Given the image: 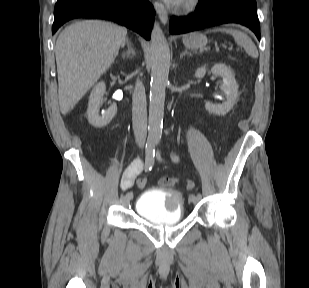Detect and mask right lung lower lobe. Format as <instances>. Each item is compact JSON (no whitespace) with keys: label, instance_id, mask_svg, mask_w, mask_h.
I'll return each mask as SVG.
<instances>
[{"label":"right lung lower lobe","instance_id":"obj_1","mask_svg":"<svg viewBox=\"0 0 309 288\" xmlns=\"http://www.w3.org/2000/svg\"><path fill=\"white\" fill-rule=\"evenodd\" d=\"M154 14L148 0H67L56 5L52 34L68 20L93 17L118 22L149 40Z\"/></svg>","mask_w":309,"mask_h":288}]
</instances>
